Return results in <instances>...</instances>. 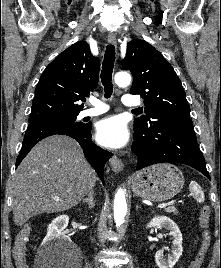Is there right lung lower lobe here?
Wrapping results in <instances>:
<instances>
[{
    "label": "right lung lower lobe",
    "instance_id": "right-lung-lower-lobe-1",
    "mask_svg": "<svg viewBox=\"0 0 221 268\" xmlns=\"http://www.w3.org/2000/svg\"><path fill=\"white\" fill-rule=\"evenodd\" d=\"M91 128V125L84 123L77 125L53 121L29 123L20 154L16 160V167L40 140L55 134L67 135L79 143L83 149L85 157L96 170L98 176L104 183V165L111 157V153L103 150L92 142Z\"/></svg>",
    "mask_w": 221,
    "mask_h": 268
}]
</instances>
